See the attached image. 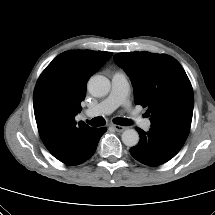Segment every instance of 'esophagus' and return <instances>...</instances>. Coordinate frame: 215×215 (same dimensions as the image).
<instances>
[{"mask_svg":"<svg viewBox=\"0 0 215 215\" xmlns=\"http://www.w3.org/2000/svg\"><path fill=\"white\" fill-rule=\"evenodd\" d=\"M112 127H113L117 132H123L124 130L127 129V127L121 126V125H113Z\"/></svg>","mask_w":215,"mask_h":215,"instance_id":"esophagus-1","label":"esophagus"}]
</instances>
